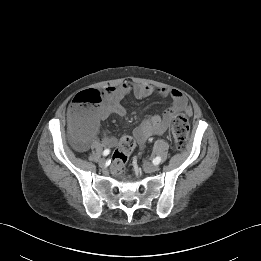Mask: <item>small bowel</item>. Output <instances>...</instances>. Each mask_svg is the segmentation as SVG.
<instances>
[{
  "instance_id": "c3829d8e",
  "label": "small bowel",
  "mask_w": 261,
  "mask_h": 261,
  "mask_svg": "<svg viewBox=\"0 0 261 261\" xmlns=\"http://www.w3.org/2000/svg\"><path fill=\"white\" fill-rule=\"evenodd\" d=\"M153 94L161 97H170L172 103L163 115H152L134 129L132 138L140 146L145 145L151 136L166 133L171 121L177 114L184 113L190 115L192 112L185 96L177 89L156 88L148 84H135L126 81L119 86H110L103 91V101L94 109L91 124L86 129L81 140L75 143V147L79 150H85L95 135L99 124L109 116H124L126 109L123 105V100L127 96L133 95L136 98H146ZM99 141L105 147H114L118 143V139L115 136L108 134H103Z\"/></svg>"
}]
</instances>
